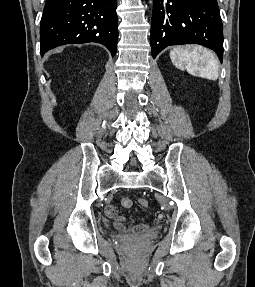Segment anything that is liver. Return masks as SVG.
<instances>
[{
	"instance_id": "obj_1",
	"label": "liver",
	"mask_w": 255,
	"mask_h": 287,
	"mask_svg": "<svg viewBox=\"0 0 255 287\" xmlns=\"http://www.w3.org/2000/svg\"><path fill=\"white\" fill-rule=\"evenodd\" d=\"M63 48H56V50H54V52H62Z\"/></svg>"
}]
</instances>
